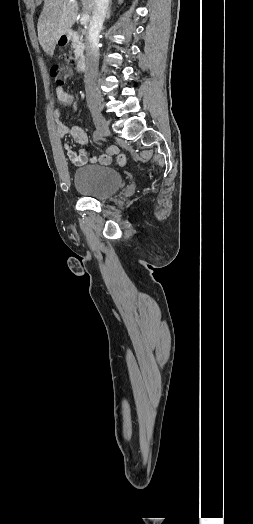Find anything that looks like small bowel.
<instances>
[{
	"instance_id": "c3829d8e",
	"label": "small bowel",
	"mask_w": 253,
	"mask_h": 524,
	"mask_svg": "<svg viewBox=\"0 0 253 524\" xmlns=\"http://www.w3.org/2000/svg\"><path fill=\"white\" fill-rule=\"evenodd\" d=\"M55 95L57 101L61 105H70L76 110L75 98L72 94L66 92L62 89H55ZM53 117L55 119L56 127L59 136L62 137L64 141H69L71 137L73 140L83 146H86L88 143V135L82 128L78 126H67L62 121L61 112L56 109L53 112ZM64 149L66 151L67 157L70 162L75 166H83L87 163H95L100 165H108L111 163L112 156L117 154L118 148L116 146H110L106 152L100 156H91L88 150L84 147L80 151L75 152L69 144H64Z\"/></svg>"
}]
</instances>
